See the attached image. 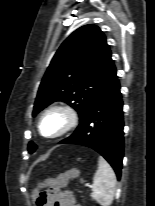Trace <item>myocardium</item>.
<instances>
[{
	"label": "myocardium",
	"instance_id": "1",
	"mask_svg": "<svg viewBox=\"0 0 155 206\" xmlns=\"http://www.w3.org/2000/svg\"><path fill=\"white\" fill-rule=\"evenodd\" d=\"M51 115H59L62 118L61 127L53 134L46 135L43 132V124L46 118ZM79 122V113L76 108L69 103H57L48 107L41 115L38 123L39 133L48 139L60 138L72 131Z\"/></svg>",
	"mask_w": 155,
	"mask_h": 206
}]
</instances>
